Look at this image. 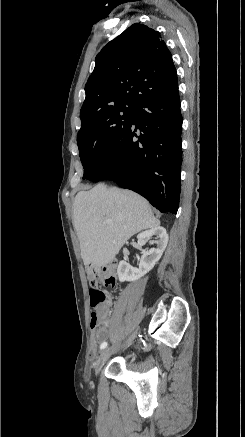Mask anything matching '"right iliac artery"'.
I'll return each instance as SVG.
<instances>
[{"instance_id": "obj_1", "label": "right iliac artery", "mask_w": 245, "mask_h": 437, "mask_svg": "<svg viewBox=\"0 0 245 437\" xmlns=\"http://www.w3.org/2000/svg\"><path fill=\"white\" fill-rule=\"evenodd\" d=\"M107 346H108V343H107V342H103V343L100 345V349L103 350V349H105Z\"/></svg>"}]
</instances>
